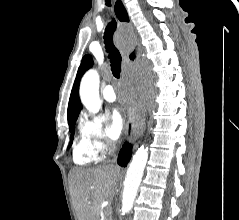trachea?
<instances>
[{
    "label": "trachea",
    "instance_id": "trachea-1",
    "mask_svg": "<svg viewBox=\"0 0 239 220\" xmlns=\"http://www.w3.org/2000/svg\"><path fill=\"white\" fill-rule=\"evenodd\" d=\"M106 5L111 6L110 0H106ZM117 23L113 19L106 27L105 33H104V43L106 51L108 52V57L111 62V70L116 78H120L121 73V55L118 51V49L115 47L113 43V34L116 30Z\"/></svg>",
    "mask_w": 239,
    "mask_h": 220
}]
</instances>
